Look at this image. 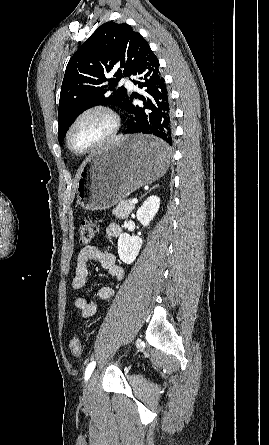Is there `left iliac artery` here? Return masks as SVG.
I'll list each match as a JSON object with an SVG mask.
<instances>
[{
	"label": "left iliac artery",
	"mask_w": 269,
	"mask_h": 445,
	"mask_svg": "<svg viewBox=\"0 0 269 445\" xmlns=\"http://www.w3.org/2000/svg\"><path fill=\"white\" fill-rule=\"evenodd\" d=\"M95 365H96V362H95V361H92V362L87 366V368H86V370H85V375H84L85 381H87V380L90 378V376H91V374H92V372H93V370H94V368H95Z\"/></svg>",
	"instance_id": "obj_1"
}]
</instances>
